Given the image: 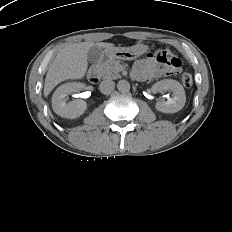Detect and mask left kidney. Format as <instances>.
Wrapping results in <instances>:
<instances>
[{
  "label": "left kidney",
  "instance_id": "left-kidney-1",
  "mask_svg": "<svg viewBox=\"0 0 232 232\" xmlns=\"http://www.w3.org/2000/svg\"><path fill=\"white\" fill-rule=\"evenodd\" d=\"M153 93L171 91L172 98L168 101H158L156 109L163 113H176L180 111L185 103L186 96L183 86L176 80L164 79L155 83L151 88Z\"/></svg>",
  "mask_w": 232,
  "mask_h": 232
}]
</instances>
